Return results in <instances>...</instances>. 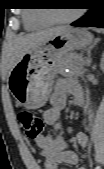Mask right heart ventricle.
<instances>
[{
  "label": "right heart ventricle",
  "instance_id": "e07e8e85",
  "mask_svg": "<svg viewBox=\"0 0 104 169\" xmlns=\"http://www.w3.org/2000/svg\"><path fill=\"white\" fill-rule=\"evenodd\" d=\"M25 27L28 29H38L46 27L50 24L40 13L38 12H26L23 15Z\"/></svg>",
  "mask_w": 104,
  "mask_h": 169
}]
</instances>
